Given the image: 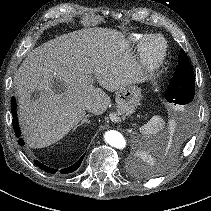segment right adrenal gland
<instances>
[{"mask_svg":"<svg viewBox=\"0 0 211 211\" xmlns=\"http://www.w3.org/2000/svg\"><path fill=\"white\" fill-rule=\"evenodd\" d=\"M91 116H92V115H90V114L86 115V116L83 118V120H82L78 125H76V126L74 127L73 132H74L79 126L83 125L84 123L89 124L90 121L88 120V118L91 117Z\"/></svg>","mask_w":211,"mask_h":211,"instance_id":"right-adrenal-gland-1","label":"right adrenal gland"}]
</instances>
